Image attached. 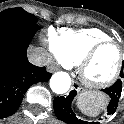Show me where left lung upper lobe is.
Segmentation results:
<instances>
[{
  "label": "left lung upper lobe",
  "mask_w": 124,
  "mask_h": 124,
  "mask_svg": "<svg viewBox=\"0 0 124 124\" xmlns=\"http://www.w3.org/2000/svg\"><path fill=\"white\" fill-rule=\"evenodd\" d=\"M120 77H121V78H124L123 71H121Z\"/></svg>",
  "instance_id": "5c2ea615"
}]
</instances>
